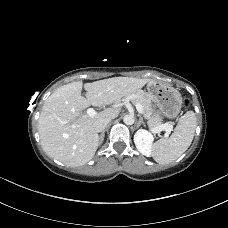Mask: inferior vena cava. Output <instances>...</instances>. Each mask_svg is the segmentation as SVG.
Wrapping results in <instances>:
<instances>
[{
	"instance_id": "1",
	"label": "inferior vena cava",
	"mask_w": 228,
	"mask_h": 228,
	"mask_svg": "<svg viewBox=\"0 0 228 228\" xmlns=\"http://www.w3.org/2000/svg\"><path fill=\"white\" fill-rule=\"evenodd\" d=\"M111 121L110 118L100 119L94 123V128L97 132H102L107 124Z\"/></svg>"
}]
</instances>
